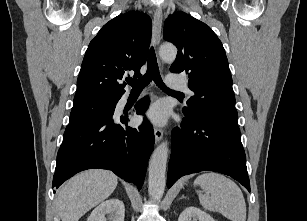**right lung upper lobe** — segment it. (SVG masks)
Here are the masks:
<instances>
[{"instance_id": "obj_1", "label": "right lung upper lobe", "mask_w": 307, "mask_h": 221, "mask_svg": "<svg viewBox=\"0 0 307 221\" xmlns=\"http://www.w3.org/2000/svg\"><path fill=\"white\" fill-rule=\"evenodd\" d=\"M150 39L151 19L143 13L127 12L106 23L85 53L73 105L118 101L125 93L124 74L141 76Z\"/></svg>"}]
</instances>
